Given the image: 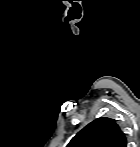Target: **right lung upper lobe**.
Masks as SVG:
<instances>
[{
	"label": "right lung upper lobe",
	"instance_id": "right-lung-upper-lobe-1",
	"mask_svg": "<svg viewBox=\"0 0 140 147\" xmlns=\"http://www.w3.org/2000/svg\"><path fill=\"white\" fill-rule=\"evenodd\" d=\"M67 147H127V139L115 120L101 117L84 127Z\"/></svg>",
	"mask_w": 140,
	"mask_h": 147
}]
</instances>
